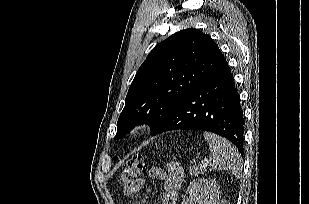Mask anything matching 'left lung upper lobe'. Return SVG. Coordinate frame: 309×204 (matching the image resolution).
I'll list each match as a JSON object with an SVG mask.
<instances>
[{"label":"left lung upper lobe","mask_w":309,"mask_h":204,"mask_svg":"<svg viewBox=\"0 0 309 204\" xmlns=\"http://www.w3.org/2000/svg\"><path fill=\"white\" fill-rule=\"evenodd\" d=\"M224 61L211 37L198 29L181 30L160 42L129 87L114 139L143 123L156 132L174 108Z\"/></svg>","instance_id":"obj_1"}]
</instances>
